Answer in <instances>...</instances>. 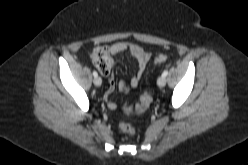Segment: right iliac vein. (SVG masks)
I'll use <instances>...</instances> for the list:
<instances>
[{"label":"right iliac vein","instance_id":"obj_1","mask_svg":"<svg viewBox=\"0 0 248 165\" xmlns=\"http://www.w3.org/2000/svg\"><path fill=\"white\" fill-rule=\"evenodd\" d=\"M93 83H94L95 86H101L102 79L97 76V77L94 78Z\"/></svg>","mask_w":248,"mask_h":165}]
</instances>
